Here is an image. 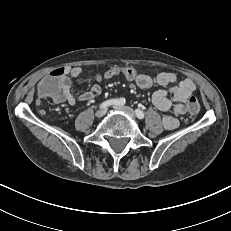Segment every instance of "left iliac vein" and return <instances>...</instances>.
Returning a JSON list of instances; mask_svg holds the SVG:
<instances>
[{
    "instance_id": "4c4485c4",
    "label": "left iliac vein",
    "mask_w": 231,
    "mask_h": 231,
    "mask_svg": "<svg viewBox=\"0 0 231 231\" xmlns=\"http://www.w3.org/2000/svg\"><path fill=\"white\" fill-rule=\"evenodd\" d=\"M114 108L119 110V111L125 112L126 114H128L131 117H135V112L130 107H127V106H114Z\"/></svg>"
}]
</instances>
